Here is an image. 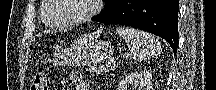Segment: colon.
<instances>
[{"instance_id":"colon-1","label":"colon","mask_w":216,"mask_h":90,"mask_svg":"<svg viewBox=\"0 0 216 90\" xmlns=\"http://www.w3.org/2000/svg\"><path fill=\"white\" fill-rule=\"evenodd\" d=\"M47 76L44 71H38L32 80L31 90H47Z\"/></svg>"}]
</instances>
